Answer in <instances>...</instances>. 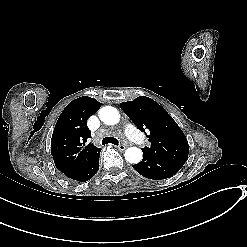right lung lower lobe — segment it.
Returning a JSON list of instances; mask_svg holds the SVG:
<instances>
[{"mask_svg":"<svg viewBox=\"0 0 247 247\" xmlns=\"http://www.w3.org/2000/svg\"><path fill=\"white\" fill-rule=\"evenodd\" d=\"M99 155H100V152H98L87 163L86 166L82 167L79 171L67 177L70 179L79 181V182H85V181L90 180L99 169Z\"/></svg>","mask_w":247,"mask_h":247,"instance_id":"obj_1","label":"right lung lower lobe"}]
</instances>
